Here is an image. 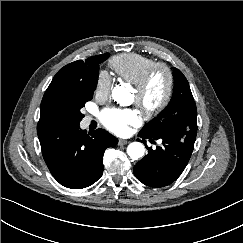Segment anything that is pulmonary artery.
<instances>
[{"label":"pulmonary artery","instance_id":"obj_1","mask_svg":"<svg viewBox=\"0 0 243 243\" xmlns=\"http://www.w3.org/2000/svg\"><path fill=\"white\" fill-rule=\"evenodd\" d=\"M89 121H90V119H89V118H86V119H85V124H88Z\"/></svg>","mask_w":243,"mask_h":243}]
</instances>
